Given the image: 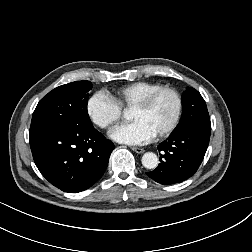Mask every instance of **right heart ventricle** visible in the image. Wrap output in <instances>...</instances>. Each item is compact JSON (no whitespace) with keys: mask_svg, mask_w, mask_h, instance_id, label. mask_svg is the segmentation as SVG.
<instances>
[{"mask_svg":"<svg viewBox=\"0 0 252 252\" xmlns=\"http://www.w3.org/2000/svg\"><path fill=\"white\" fill-rule=\"evenodd\" d=\"M163 87L156 82L139 81L127 84L117 89L112 98L124 108H132L149 93Z\"/></svg>","mask_w":252,"mask_h":252,"instance_id":"e07e8e85","label":"right heart ventricle"}]
</instances>
